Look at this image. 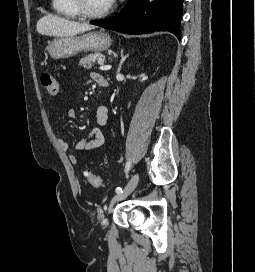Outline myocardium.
<instances>
[{"instance_id": "f54148a6", "label": "myocardium", "mask_w": 255, "mask_h": 272, "mask_svg": "<svg viewBox=\"0 0 255 272\" xmlns=\"http://www.w3.org/2000/svg\"><path fill=\"white\" fill-rule=\"evenodd\" d=\"M74 5L78 12L80 13L81 16L86 17V18H92V19H98V18H103L108 16L113 9L112 4L104 11L102 12H92L90 11L87 6H86V0H73Z\"/></svg>"}]
</instances>
